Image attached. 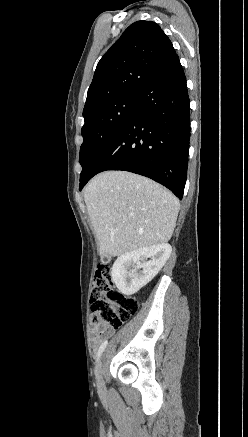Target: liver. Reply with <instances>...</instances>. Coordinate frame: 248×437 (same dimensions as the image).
Listing matches in <instances>:
<instances>
[{"label": "liver", "mask_w": 248, "mask_h": 437, "mask_svg": "<svg viewBox=\"0 0 248 437\" xmlns=\"http://www.w3.org/2000/svg\"><path fill=\"white\" fill-rule=\"evenodd\" d=\"M84 200L101 256H119L170 240L179 200L156 182L124 171L95 176Z\"/></svg>", "instance_id": "liver-1"}]
</instances>
